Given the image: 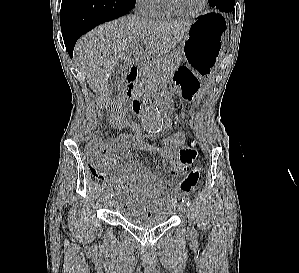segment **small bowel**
Wrapping results in <instances>:
<instances>
[{
	"mask_svg": "<svg viewBox=\"0 0 299 273\" xmlns=\"http://www.w3.org/2000/svg\"><path fill=\"white\" fill-rule=\"evenodd\" d=\"M110 125L119 130H126L121 136L126 140L140 134L138 126L123 119L119 110H111L108 114ZM144 152H155L161 164L168 166L172 178L177 179L190 171V166L196 158L197 150L194 144L157 149L155 151L142 149ZM130 145L120 150L108 151L104 155V163L112 172L111 183L117 194L123 197V208L150 216L155 209L173 208L178 201L177 192L166 191L161 179L151 175L140 173V166L132 163L126 166L120 165V157H130Z\"/></svg>",
	"mask_w": 299,
	"mask_h": 273,
	"instance_id": "small-bowel-1",
	"label": "small bowel"
}]
</instances>
